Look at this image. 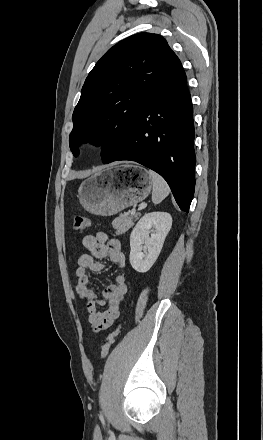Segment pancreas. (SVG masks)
Here are the masks:
<instances>
[{
    "instance_id": "pancreas-1",
    "label": "pancreas",
    "mask_w": 263,
    "mask_h": 440,
    "mask_svg": "<svg viewBox=\"0 0 263 440\" xmlns=\"http://www.w3.org/2000/svg\"><path fill=\"white\" fill-rule=\"evenodd\" d=\"M138 219V214H122L112 221V226L117 235L127 232L133 225L134 221Z\"/></svg>"
}]
</instances>
